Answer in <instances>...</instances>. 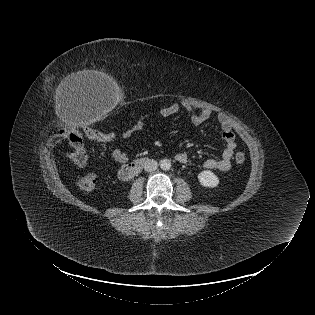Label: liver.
<instances>
[{
  "label": "liver",
  "mask_w": 315,
  "mask_h": 315,
  "mask_svg": "<svg viewBox=\"0 0 315 315\" xmlns=\"http://www.w3.org/2000/svg\"><path fill=\"white\" fill-rule=\"evenodd\" d=\"M86 83L115 84L114 80L104 72L96 70H83L68 75L61 83V88L66 89L74 85Z\"/></svg>",
  "instance_id": "1"
}]
</instances>
